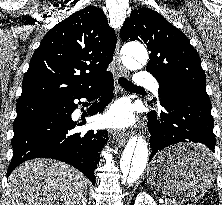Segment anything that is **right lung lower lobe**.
Returning <instances> with one entry per match:
<instances>
[{
    "label": "right lung lower lobe",
    "instance_id": "obj_1",
    "mask_svg": "<svg viewBox=\"0 0 222 205\" xmlns=\"http://www.w3.org/2000/svg\"><path fill=\"white\" fill-rule=\"evenodd\" d=\"M114 79L112 74L78 92L70 98H37L16 104L17 117L13 124V157L7 176L21 163L33 158H52L68 163L80 170L95 184L94 170L100 152L107 143V131L76 132L86 121L74 122L71 118L77 108L75 99L97 96L99 101L86 115L103 112L112 101Z\"/></svg>",
    "mask_w": 222,
    "mask_h": 205
}]
</instances>
